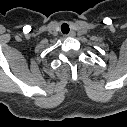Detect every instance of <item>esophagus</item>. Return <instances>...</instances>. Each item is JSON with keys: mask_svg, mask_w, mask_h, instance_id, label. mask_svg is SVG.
<instances>
[{"mask_svg": "<svg viewBox=\"0 0 127 127\" xmlns=\"http://www.w3.org/2000/svg\"><path fill=\"white\" fill-rule=\"evenodd\" d=\"M67 37H74L75 36V32L71 31L69 34L66 35Z\"/></svg>", "mask_w": 127, "mask_h": 127, "instance_id": "esophagus-1", "label": "esophagus"}]
</instances>
